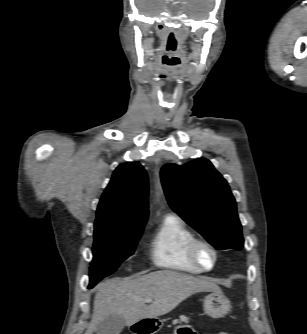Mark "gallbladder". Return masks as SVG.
Listing matches in <instances>:
<instances>
[{
    "label": "gallbladder",
    "mask_w": 307,
    "mask_h": 334,
    "mask_svg": "<svg viewBox=\"0 0 307 334\" xmlns=\"http://www.w3.org/2000/svg\"><path fill=\"white\" fill-rule=\"evenodd\" d=\"M125 321L120 315L112 314L105 317L95 328L96 334H120Z\"/></svg>",
    "instance_id": "1"
}]
</instances>
